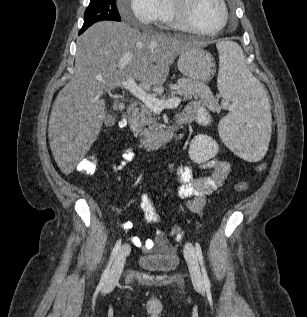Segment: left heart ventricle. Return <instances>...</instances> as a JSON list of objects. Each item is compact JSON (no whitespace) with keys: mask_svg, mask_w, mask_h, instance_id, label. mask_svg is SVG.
I'll list each match as a JSON object with an SVG mask.
<instances>
[{"mask_svg":"<svg viewBox=\"0 0 307 317\" xmlns=\"http://www.w3.org/2000/svg\"><path fill=\"white\" fill-rule=\"evenodd\" d=\"M190 17L198 29L209 31L220 25L223 13L218 0H194Z\"/></svg>","mask_w":307,"mask_h":317,"instance_id":"left-heart-ventricle-1","label":"left heart ventricle"}]
</instances>
